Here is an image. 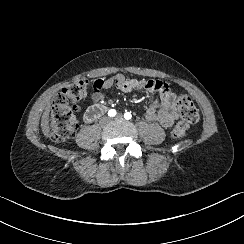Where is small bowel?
I'll use <instances>...</instances> for the list:
<instances>
[{
	"label": "small bowel",
	"instance_id": "c3829d8e",
	"mask_svg": "<svg viewBox=\"0 0 244 244\" xmlns=\"http://www.w3.org/2000/svg\"><path fill=\"white\" fill-rule=\"evenodd\" d=\"M116 87L122 92L130 93L139 90L149 91L152 96L147 104L145 119L149 123L170 127L177 117L176 94L169 84L159 80H143L128 78L123 74H117L107 79H98L93 84L90 95L91 105L84 114V120L93 121L91 110L103 101L104 91Z\"/></svg>",
	"mask_w": 244,
	"mask_h": 244
}]
</instances>
